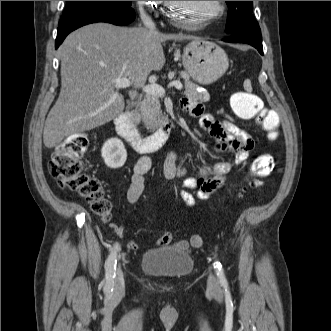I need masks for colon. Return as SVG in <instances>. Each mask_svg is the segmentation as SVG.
<instances>
[{
	"label": "colon",
	"mask_w": 331,
	"mask_h": 331,
	"mask_svg": "<svg viewBox=\"0 0 331 331\" xmlns=\"http://www.w3.org/2000/svg\"><path fill=\"white\" fill-rule=\"evenodd\" d=\"M231 108L241 120L256 122L271 139H275L279 128V116L274 110L263 107L262 100L248 91L237 92L231 97ZM89 146L88 137L83 133L67 137L54 151L49 163V172L58 184L67 190L77 193L91 206L94 213L104 220L110 218L111 203L105 197L100 180L84 172L81 161ZM274 168V160L270 154L257 156L251 164L250 176L263 178L268 176ZM250 182L240 186L238 195L242 196ZM191 243L200 247L203 240L199 235L191 237Z\"/></svg>",
	"instance_id": "5ec220e1"
}]
</instances>
